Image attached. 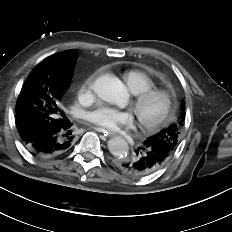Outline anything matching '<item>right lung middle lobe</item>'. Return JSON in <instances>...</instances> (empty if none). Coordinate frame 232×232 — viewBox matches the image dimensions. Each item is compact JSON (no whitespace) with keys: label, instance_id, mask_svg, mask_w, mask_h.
<instances>
[{"label":"right lung middle lobe","instance_id":"right-lung-middle-lobe-1","mask_svg":"<svg viewBox=\"0 0 232 232\" xmlns=\"http://www.w3.org/2000/svg\"><path fill=\"white\" fill-rule=\"evenodd\" d=\"M72 63L64 61L60 66L38 65L25 81L16 104V115L33 116L31 126L53 127L67 120L61 99L69 87L72 77ZM37 106L32 110L30 105Z\"/></svg>","mask_w":232,"mask_h":232}]
</instances>
